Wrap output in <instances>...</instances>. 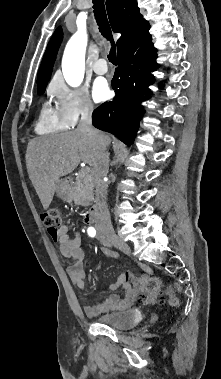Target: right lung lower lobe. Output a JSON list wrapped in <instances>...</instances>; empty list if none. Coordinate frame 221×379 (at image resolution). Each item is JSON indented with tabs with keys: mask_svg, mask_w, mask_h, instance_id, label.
I'll list each match as a JSON object with an SVG mask.
<instances>
[{
	"mask_svg": "<svg viewBox=\"0 0 221 379\" xmlns=\"http://www.w3.org/2000/svg\"><path fill=\"white\" fill-rule=\"evenodd\" d=\"M148 30L118 51V68L112 80L116 95L92 114L96 128L116 135L128 146L145 112L141 102L150 97L152 72L158 68L157 50Z\"/></svg>",
	"mask_w": 221,
	"mask_h": 379,
	"instance_id": "98d812e1",
	"label": "right lung lower lobe"
}]
</instances>
